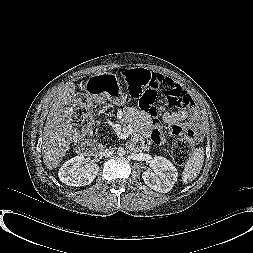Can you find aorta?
<instances>
[{
    "label": "aorta",
    "instance_id": "obj_1",
    "mask_svg": "<svg viewBox=\"0 0 253 253\" xmlns=\"http://www.w3.org/2000/svg\"><path fill=\"white\" fill-rule=\"evenodd\" d=\"M127 152V149L124 146H121L117 149V154L123 156Z\"/></svg>",
    "mask_w": 253,
    "mask_h": 253
}]
</instances>
